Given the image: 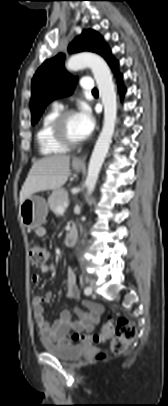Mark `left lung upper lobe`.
<instances>
[{"instance_id": "1", "label": "left lung upper lobe", "mask_w": 168, "mask_h": 406, "mask_svg": "<svg viewBox=\"0 0 168 406\" xmlns=\"http://www.w3.org/2000/svg\"><path fill=\"white\" fill-rule=\"evenodd\" d=\"M69 52L91 51L100 54L107 62L112 58L102 37L93 30H84L68 48ZM64 54L46 60L32 79L31 113L32 124L41 117L46 106L54 99L71 95L76 78L64 68Z\"/></svg>"}]
</instances>
